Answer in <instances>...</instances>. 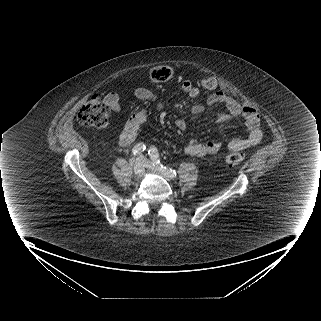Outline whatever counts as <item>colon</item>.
<instances>
[{
	"label": "colon",
	"instance_id": "obj_1",
	"mask_svg": "<svg viewBox=\"0 0 321 321\" xmlns=\"http://www.w3.org/2000/svg\"><path fill=\"white\" fill-rule=\"evenodd\" d=\"M173 76V70L169 66H156L150 71L152 81L157 83L167 82ZM202 86L207 90H214L217 87V79L208 77L202 81ZM110 107L100 96L90 97L78 112V122L87 127H103L107 124ZM247 154L243 151H235L227 154L224 162L229 166L242 163Z\"/></svg>",
	"mask_w": 321,
	"mask_h": 321
}]
</instances>
